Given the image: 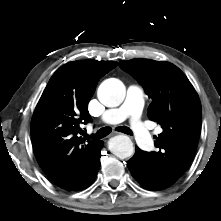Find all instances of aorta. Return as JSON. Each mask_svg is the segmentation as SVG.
<instances>
[{
    "mask_svg": "<svg viewBox=\"0 0 221 221\" xmlns=\"http://www.w3.org/2000/svg\"><path fill=\"white\" fill-rule=\"evenodd\" d=\"M125 86L119 79L109 78L104 80L97 91L99 101L106 107H117L125 98ZM110 151L120 159L131 157L134 147L131 139L125 135L113 137L109 142Z\"/></svg>",
    "mask_w": 221,
    "mask_h": 221,
    "instance_id": "obj_1",
    "label": "aorta"
}]
</instances>
